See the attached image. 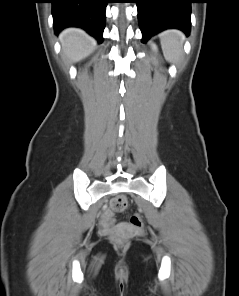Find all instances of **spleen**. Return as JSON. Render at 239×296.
<instances>
[{
	"instance_id": "3e777b00",
	"label": "spleen",
	"mask_w": 239,
	"mask_h": 296,
	"mask_svg": "<svg viewBox=\"0 0 239 296\" xmlns=\"http://www.w3.org/2000/svg\"><path fill=\"white\" fill-rule=\"evenodd\" d=\"M164 57L172 63L179 61L183 53L184 35L178 30H167L160 34Z\"/></svg>"
}]
</instances>
